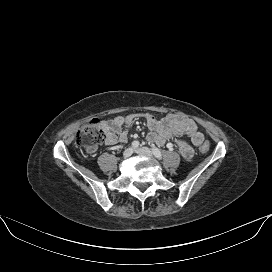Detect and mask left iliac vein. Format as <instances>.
<instances>
[{
	"label": "left iliac vein",
	"instance_id": "left-iliac-vein-1",
	"mask_svg": "<svg viewBox=\"0 0 272 272\" xmlns=\"http://www.w3.org/2000/svg\"><path fill=\"white\" fill-rule=\"evenodd\" d=\"M135 152L141 156H148V157L152 156L151 150L146 147L138 148L135 150Z\"/></svg>",
	"mask_w": 272,
	"mask_h": 272
}]
</instances>
